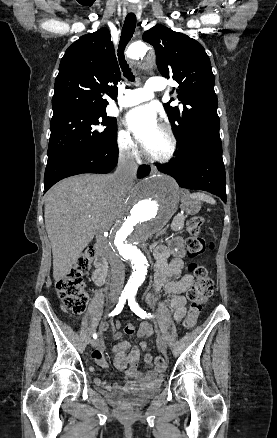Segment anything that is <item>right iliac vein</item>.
<instances>
[{
	"mask_svg": "<svg viewBox=\"0 0 277 438\" xmlns=\"http://www.w3.org/2000/svg\"><path fill=\"white\" fill-rule=\"evenodd\" d=\"M111 301H112L113 303H115V302L117 301V298H116V297H112ZM98 344H99V339H93V340L91 341V346H92V347H97Z\"/></svg>",
	"mask_w": 277,
	"mask_h": 438,
	"instance_id": "right-iliac-vein-1",
	"label": "right iliac vein"
}]
</instances>
